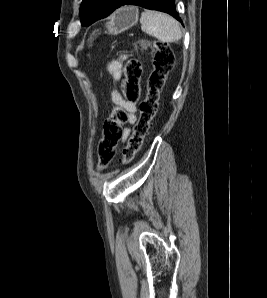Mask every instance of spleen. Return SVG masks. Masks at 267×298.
<instances>
[{"instance_id": "1", "label": "spleen", "mask_w": 267, "mask_h": 298, "mask_svg": "<svg viewBox=\"0 0 267 298\" xmlns=\"http://www.w3.org/2000/svg\"><path fill=\"white\" fill-rule=\"evenodd\" d=\"M140 23L143 32L161 42L174 43L182 37L178 21L168 14L146 10L141 14Z\"/></svg>"}]
</instances>
